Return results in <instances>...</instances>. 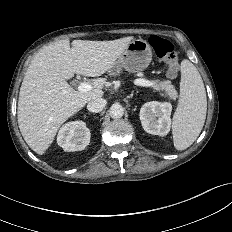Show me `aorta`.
<instances>
[{
	"label": "aorta",
	"instance_id": "aorta-1",
	"mask_svg": "<svg viewBox=\"0 0 232 232\" xmlns=\"http://www.w3.org/2000/svg\"><path fill=\"white\" fill-rule=\"evenodd\" d=\"M109 114L114 119L121 118L124 115V108L119 103H115L110 107Z\"/></svg>",
	"mask_w": 232,
	"mask_h": 232
}]
</instances>
